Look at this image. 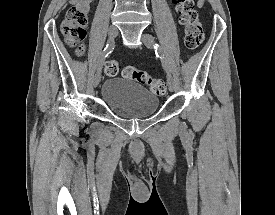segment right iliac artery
I'll return each instance as SVG.
<instances>
[{"mask_svg":"<svg viewBox=\"0 0 275 215\" xmlns=\"http://www.w3.org/2000/svg\"><path fill=\"white\" fill-rule=\"evenodd\" d=\"M113 49V42L109 41L100 56V59L97 63V69H102L104 59L113 51Z\"/></svg>","mask_w":275,"mask_h":215,"instance_id":"obj_1","label":"right iliac artery"}]
</instances>
